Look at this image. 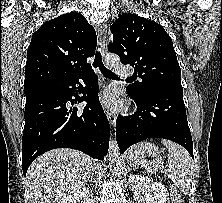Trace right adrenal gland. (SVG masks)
Instances as JSON below:
<instances>
[{
	"mask_svg": "<svg viewBox=\"0 0 222 203\" xmlns=\"http://www.w3.org/2000/svg\"><path fill=\"white\" fill-rule=\"evenodd\" d=\"M94 174L93 173H91V176H90V182H92V180H94V176H93ZM86 184H87V182H86Z\"/></svg>",
	"mask_w": 222,
	"mask_h": 203,
	"instance_id": "1",
	"label": "right adrenal gland"
}]
</instances>
